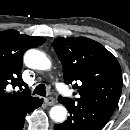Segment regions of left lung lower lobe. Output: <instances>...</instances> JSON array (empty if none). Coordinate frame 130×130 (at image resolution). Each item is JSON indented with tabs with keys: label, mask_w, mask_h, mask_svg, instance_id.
Segmentation results:
<instances>
[{
	"label": "left lung lower lobe",
	"mask_w": 130,
	"mask_h": 130,
	"mask_svg": "<svg viewBox=\"0 0 130 130\" xmlns=\"http://www.w3.org/2000/svg\"><path fill=\"white\" fill-rule=\"evenodd\" d=\"M58 101L68 109L69 117L64 123L56 124L54 130H101L112 116L92 103L66 98H58Z\"/></svg>",
	"instance_id": "left-lung-lower-lobe-1"
}]
</instances>
